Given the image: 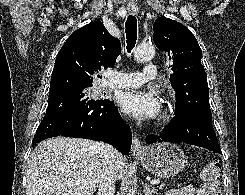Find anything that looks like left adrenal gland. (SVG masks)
Returning <instances> with one entry per match:
<instances>
[{"label": "left adrenal gland", "mask_w": 245, "mask_h": 195, "mask_svg": "<svg viewBox=\"0 0 245 195\" xmlns=\"http://www.w3.org/2000/svg\"><path fill=\"white\" fill-rule=\"evenodd\" d=\"M144 195H158V190L156 188H151L147 183L144 184Z\"/></svg>", "instance_id": "a2214340"}]
</instances>
